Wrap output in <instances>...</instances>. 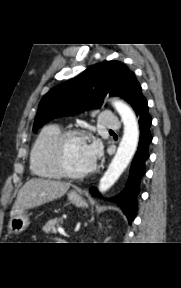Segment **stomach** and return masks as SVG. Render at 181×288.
Masks as SVG:
<instances>
[{"label": "stomach", "instance_id": "obj_1", "mask_svg": "<svg viewBox=\"0 0 181 288\" xmlns=\"http://www.w3.org/2000/svg\"><path fill=\"white\" fill-rule=\"evenodd\" d=\"M69 201L77 207L86 206V201L76 191H70L68 194ZM29 225V218L25 212H20L10 218L8 230L10 233L18 234L24 231Z\"/></svg>", "mask_w": 181, "mask_h": 288}]
</instances>
